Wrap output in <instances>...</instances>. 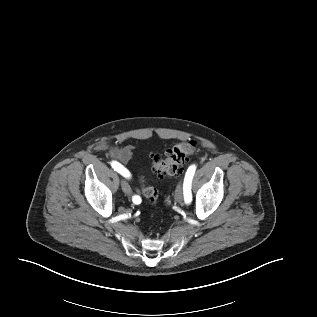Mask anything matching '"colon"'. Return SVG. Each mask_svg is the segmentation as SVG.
I'll return each instance as SVG.
<instances>
[{"instance_id": "colon-1", "label": "colon", "mask_w": 317, "mask_h": 317, "mask_svg": "<svg viewBox=\"0 0 317 317\" xmlns=\"http://www.w3.org/2000/svg\"><path fill=\"white\" fill-rule=\"evenodd\" d=\"M195 150L194 142H181L166 150L164 155L156 154L152 158V167L157 175L174 176L185 164L188 155ZM143 195L155 205L158 198V192L154 187L147 186L142 180Z\"/></svg>"}]
</instances>
